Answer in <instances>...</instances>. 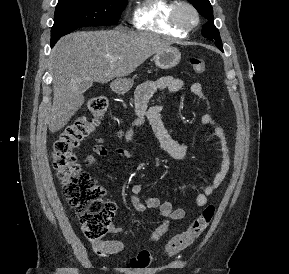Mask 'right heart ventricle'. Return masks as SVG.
<instances>
[{
  "mask_svg": "<svg viewBox=\"0 0 289 274\" xmlns=\"http://www.w3.org/2000/svg\"><path fill=\"white\" fill-rule=\"evenodd\" d=\"M174 0H141L133 12V24L138 30L184 37L186 32L175 27L170 19Z\"/></svg>",
  "mask_w": 289,
  "mask_h": 274,
  "instance_id": "obj_1",
  "label": "right heart ventricle"
}]
</instances>
